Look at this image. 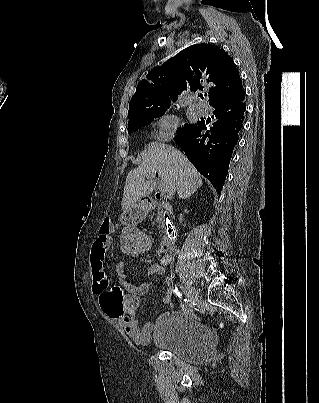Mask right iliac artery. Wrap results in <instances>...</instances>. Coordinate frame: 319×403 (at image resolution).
Wrapping results in <instances>:
<instances>
[{
	"label": "right iliac artery",
	"mask_w": 319,
	"mask_h": 403,
	"mask_svg": "<svg viewBox=\"0 0 319 403\" xmlns=\"http://www.w3.org/2000/svg\"><path fill=\"white\" fill-rule=\"evenodd\" d=\"M166 283L170 287L171 291H173L179 298L182 296V294H180V292H178V288L175 286L172 278L167 277ZM184 300L186 301V299H184Z\"/></svg>",
	"instance_id": "right-iliac-artery-1"
}]
</instances>
